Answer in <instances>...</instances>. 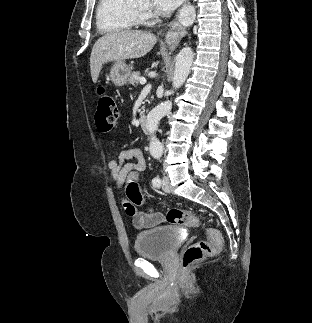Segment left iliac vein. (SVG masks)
I'll use <instances>...</instances> for the list:
<instances>
[{"mask_svg": "<svg viewBox=\"0 0 312 323\" xmlns=\"http://www.w3.org/2000/svg\"><path fill=\"white\" fill-rule=\"evenodd\" d=\"M162 188L165 192H171V186L168 176L162 178Z\"/></svg>", "mask_w": 312, "mask_h": 323, "instance_id": "obj_1", "label": "left iliac vein"}]
</instances>
